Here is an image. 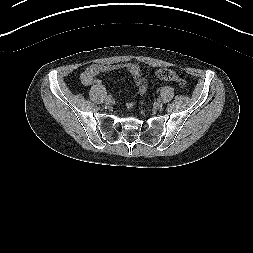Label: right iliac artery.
Listing matches in <instances>:
<instances>
[{
	"instance_id": "1",
	"label": "right iliac artery",
	"mask_w": 253,
	"mask_h": 253,
	"mask_svg": "<svg viewBox=\"0 0 253 253\" xmlns=\"http://www.w3.org/2000/svg\"><path fill=\"white\" fill-rule=\"evenodd\" d=\"M107 99H111V95H108V96H107Z\"/></svg>"
}]
</instances>
